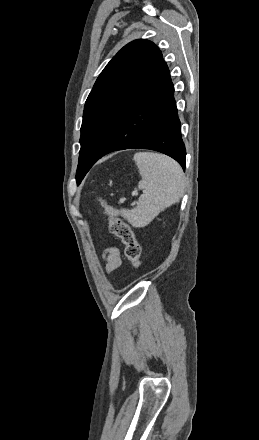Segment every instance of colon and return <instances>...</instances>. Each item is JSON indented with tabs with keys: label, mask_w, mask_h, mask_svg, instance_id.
Here are the masks:
<instances>
[{
	"label": "colon",
	"mask_w": 259,
	"mask_h": 440,
	"mask_svg": "<svg viewBox=\"0 0 259 440\" xmlns=\"http://www.w3.org/2000/svg\"><path fill=\"white\" fill-rule=\"evenodd\" d=\"M96 200L103 208L108 207V203L104 198L97 197ZM108 220L110 233L121 240L125 247L124 252L126 258L130 261L133 267H138L140 265L142 248L137 241L133 230L128 224L118 219L113 214L109 216Z\"/></svg>",
	"instance_id": "1"
}]
</instances>
